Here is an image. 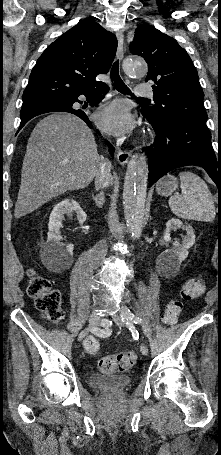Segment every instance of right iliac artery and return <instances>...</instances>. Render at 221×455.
<instances>
[{
	"label": "right iliac artery",
	"mask_w": 221,
	"mask_h": 455,
	"mask_svg": "<svg viewBox=\"0 0 221 455\" xmlns=\"http://www.w3.org/2000/svg\"><path fill=\"white\" fill-rule=\"evenodd\" d=\"M93 334L95 335V337H109V334H110V328L107 326V325H104L102 327V329H93Z\"/></svg>",
	"instance_id": "right-iliac-artery-1"
}]
</instances>
